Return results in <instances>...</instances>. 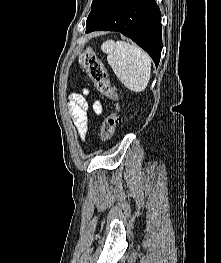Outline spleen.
<instances>
[{"instance_id":"obj_1","label":"spleen","mask_w":221,"mask_h":263,"mask_svg":"<svg viewBox=\"0 0 221 263\" xmlns=\"http://www.w3.org/2000/svg\"><path fill=\"white\" fill-rule=\"evenodd\" d=\"M108 64L118 79L131 91L146 89L151 76V58L134 44L107 40L101 45Z\"/></svg>"}]
</instances>
